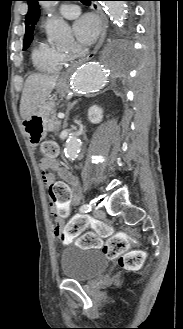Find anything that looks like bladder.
I'll return each instance as SVG.
<instances>
[{"mask_svg":"<svg viewBox=\"0 0 183 329\" xmlns=\"http://www.w3.org/2000/svg\"><path fill=\"white\" fill-rule=\"evenodd\" d=\"M60 265L65 278L89 281L106 270L108 260L97 248L69 245L60 251Z\"/></svg>","mask_w":183,"mask_h":329,"instance_id":"1","label":"bladder"}]
</instances>
